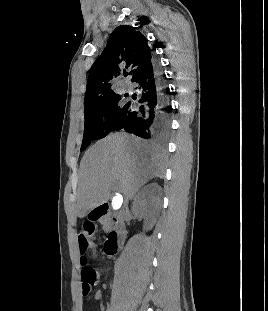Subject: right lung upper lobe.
Wrapping results in <instances>:
<instances>
[{"label": "right lung upper lobe", "mask_w": 268, "mask_h": 311, "mask_svg": "<svg viewBox=\"0 0 268 311\" xmlns=\"http://www.w3.org/2000/svg\"><path fill=\"white\" fill-rule=\"evenodd\" d=\"M147 38L129 25L118 26L88 76L84 111L114 94L112 81L121 70L130 69L131 81L142 74L154 59Z\"/></svg>", "instance_id": "cb5924a9"}]
</instances>
